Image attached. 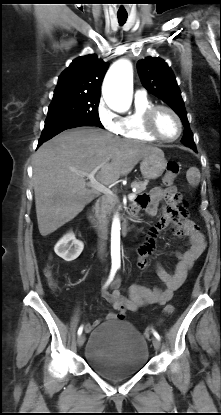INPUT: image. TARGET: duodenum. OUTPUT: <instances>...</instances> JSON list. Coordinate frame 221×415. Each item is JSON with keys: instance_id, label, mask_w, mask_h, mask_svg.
<instances>
[{"instance_id": "410a0bca", "label": "duodenum", "mask_w": 221, "mask_h": 415, "mask_svg": "<svg viewBox=\"0 0 221 415\" xmlns=\"http://www.w3.org/2000/svg\"><path fill=\"white\" fill-rule=\"evenodd\" d=\"M136 214V210L133 206H131L128 209V213L127 216L125 217V219L122 221L121 224V230L123 234H128L130 232V220L135 216ZM88 219L90 221V223L93 225L94 228L101 230L102 226L100 225V223L96 220L95 216L93 215L92 212L88 213Z\"/></svg>"}]
</instances>
